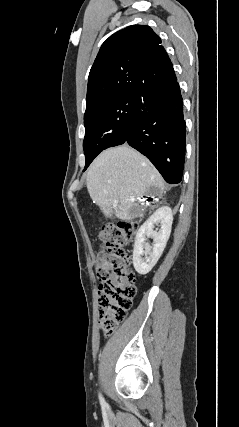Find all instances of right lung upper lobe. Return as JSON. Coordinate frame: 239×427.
I'll return each instance as SVG.
<instances>
[{"mask_svg": "<svg viewBox=\"0 0 239 427\" xmlns=\"http://www.w3.org/2000/svg\"><path fill=\"white\" fill-rule=\"evenodd\" d=\"M176 79L160 37L145 25H132L101 46L88 77L86 107L102 100L141 96Z\"/></svg>", "mask_w": 239, "mask_h": 427, "instance_id": "cb5924a9", "label": "right lung upper lobe"}]
</instances>
